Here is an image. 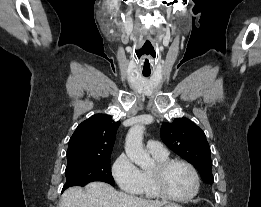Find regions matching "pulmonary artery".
Wrapping results in <instances>:
<instances>
[{"label":"pulmonary artery","instance_id":"obj_1","mask_svg":"<svg viewBox=\"0 0 261 207\" xmlns=\"http://www.w3.org/2000/svg\"><path fill=\"white\" fill-rule=\"evenodd\" d=\"M147 149L152 155H167V149L158 141L150 140L147 143Z\"/></svg>","mask_w":261,"mask_h":207}]
</instances>
